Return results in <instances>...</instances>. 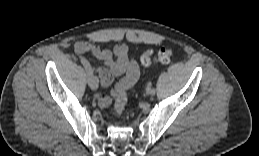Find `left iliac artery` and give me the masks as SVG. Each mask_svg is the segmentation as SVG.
Masks as SVG:
<instances>
[{
  "label": "left iliac artery",
  "instance_id": "left-iliac-artery-1",
  "mask_svg": "<svg viewBox=\"0 0 259 156\" xmlns=\"http://www.w3.org/2000/svg\"><path fill=\"white\" fill-rule=\"evenodd\" d=\"M151 93H152V95L156 94V88L155 87H152Z\"/></svg>",
  "mask_w": 259,
  "mask_h": 156
}]
</instances>
